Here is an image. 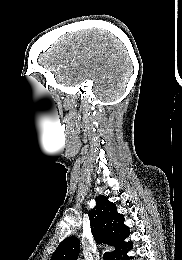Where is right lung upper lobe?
Listing matches in <instances>:
<instances>
[{"label": "right lung upper lobe", "instance_id": "right-lung-upper-lobe-1", "mask_svg": "<svg viewBox=\"0 0 182 260\" xmlns=\"http://www.w3.org/2000/svg\"><path fill=\"white\" fill-rule=\"evenodd\" d=\"M89 218L95 241L115 247L112 258L131 244L124 241L130 232L124 224L123 215L117 213L116 205L106 196L102 195L97 198L96 206L89 213ZM79 252V239L71 236L58 245L51 260H77Z\"/></svg>", "mask_w": 182, "mask_h": 260}]
</instances>
